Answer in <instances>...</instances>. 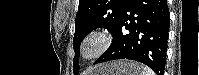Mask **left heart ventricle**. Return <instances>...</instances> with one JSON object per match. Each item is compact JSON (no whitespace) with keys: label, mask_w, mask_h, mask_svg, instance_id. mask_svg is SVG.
Returning <instances> with one entry per match:
<instances>
[{"label":"left heart ventricle","mask_w":199,"mask_h":75,"mask_svg":"<svg viewBox=\"0 0 199 75\" xmlns=\"http://www.w3.org/2000/svg\"><path fill=\"white\" fill-rule=\"evenodd\" d=\"M94 50V46L93 45H89L86 49L87 53H91Z\"/></svg>","instance_id":"1"}]
</instances>
